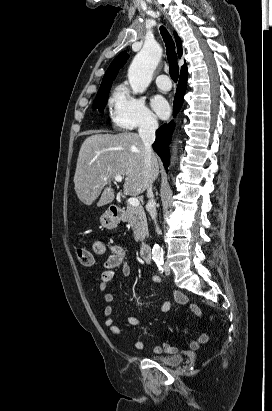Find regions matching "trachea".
Here are the masks:
<instances>
[{"label":"trachea","mask_w":272,"mask_h":411,"mask_svg":"<svg viewBox=\"0 0 272 411\" xmlns=\"http://www.w3.org/2000/svg\"><path fill=\"white\" fill-rule=\"evenodd\" d=\"M160 33L166 46V54L169 63V72L172 80L177 82L179 77V66L177 63V54L175 51V43L164 26L160 27Z\"/></svg>","instance_id":"trachea-1"}]
</instances>
